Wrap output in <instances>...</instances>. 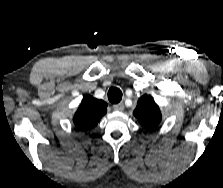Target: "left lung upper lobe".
<instances>
[{
  "mask_svg": "<svg viewBox=\"0 0 223 188\" xmlns=\"http://www.w3.org/2000/svg\"><path fill=\"white\" fill-rule=\"evenodd\" d=\"M143 128L147 130L155 129L161 122V112L158 105L154 102L150 95H143L137 103V107L133 112Z\"/></svg>",
  "mask_w": 223,
  "mask_h": 188,
  "instance_id": "5c2ea615",
  "label": "left lung upper lobe"
}]
</instances>
